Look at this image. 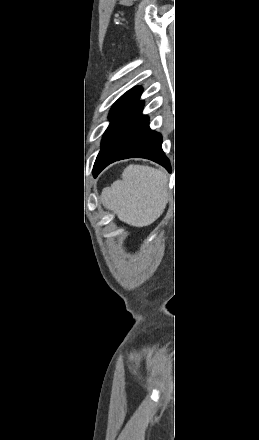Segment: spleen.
<instances>
[{"instance_id":"obj_1","label":"spleen","mask_w":259,"mask_h":440,"mask_svg":"<svg viewBox=\"0 0 259 440\" xmlns=\"http://www.w3.org/2000/svg\"><path fill=\"white\" fill-rule=\"evenodd\" d=\"M170 198L165 171L145 165L131 164L122 179L106 187L101 200L118 218L135 227L153 223L163 213Z\"/></svg>"}]
</instances>
